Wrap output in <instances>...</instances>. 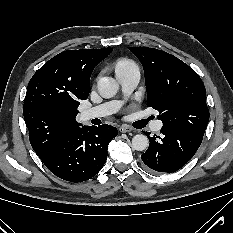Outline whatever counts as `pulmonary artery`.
I'll return each mask as SVG.
<instances>
[{
    "mask_svg": "<svg viewBox=\"0 0 233 233\" xmlns=\"http://www.w3.org/2000/svg\"><path fill=\"white\" fill-rule=\"evenodd\" d=\"M116 78L121 86L123 92L128 95L130 94L138 85L140 80V71L135 67H130L125 70H121L116 72ZM121 103L118 101H112L108 103H104L89 109L84 110L81 113V118L84 121H88L95 118L105 117L107 115L115 113ZM163 126L161 120H156L152 123V129L156 132L160 131Z\"/></svg>",
    "mask_w": 233,
    "mask_h": 233,
    "instance_id": "1",
    "label": "pulmonary artery"
}]
</instances>
